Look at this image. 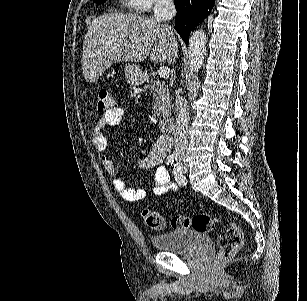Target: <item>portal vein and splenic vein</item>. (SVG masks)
Returning <instances> with one entry per match:
<instances>
[{
    "label": "portal vein and splenic vein",
    "instance_id": "obj_1",
    "mask_svg": "<svg viewBox=\"0 0 307 301\" xmlns=\"http://www.w3.org/2000/svg\"><path fill=\"white\" fill-rule=\"evenodd\" d=\"M158 72L159 76H163V78H168V76H170V68H167V66H160Z\"/></svg>",
    "mask_w": 307,
    "mask_h": 301
}]
</instances>
